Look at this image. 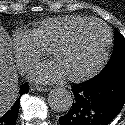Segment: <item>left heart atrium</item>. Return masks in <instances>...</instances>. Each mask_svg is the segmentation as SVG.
Returning a JSON list of instances; mask_svg holds the SVG:
<instances>
[{
    "label": "left heart atrium",
    "instance_id": "left-heart-atrium-1",
    "mask_svg": "<svg viewBox=\"0 0 125 125\" xmlns=\"http://www.w3.org/2000/svg\"><path fill=\"white\" fill-rule=\"evenodd\" d=\"M66 76L65 70L56 59L37 65L31 73L32 80L42 84L56 82Z\"/></svg>",
    "mask_w": 125,
    "mask_h": 125
}]
</instances>
